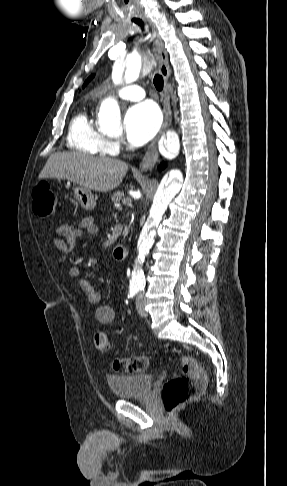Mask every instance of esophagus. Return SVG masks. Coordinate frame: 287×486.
Returning a JSON list of instances; mask_svg holds the SVG:
<instances>
[{
    "instance_id": "1",
    "label": "esophagus",
    "mask_w": 287,
    "mask_h": 486,
    "mask_svg": "<svg viewBox=\"0 0 287 486\" xmlns=\"http://www.w3.org/2000/svg\"><path fill=\"white\" fill-rule=\"evenodd\" d=\"M154 52L156 55V59L158 61L159 72L162 75L165 82L164 93H163L164 120L159 133L151 142V144L148 146L140 162L139 168L141 171L151 170L155 166L156 162L158 161V149H157L158 140L160 136L165 133L168 126L171 124L170 96H169V85H168L170 72L168 66V56L164 48L163 41L160 38L157 31L155 33Z\"/></svg>"
}]
</instances>
